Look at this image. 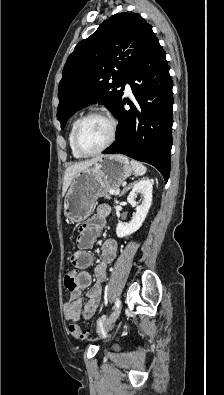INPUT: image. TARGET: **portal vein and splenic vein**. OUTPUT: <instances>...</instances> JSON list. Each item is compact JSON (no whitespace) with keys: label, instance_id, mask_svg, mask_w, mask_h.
<instances>
[{"label":"portal vein and splenic vein","instance_id":"18ae733b","mask_svg":"<svg viewBox=\"0 0 224 395\" xmlns=\"http://www.w3.org/2000/svg\"><path fill=\"white\" fill-rule=\"evenodd\" d=\"M109 193H110L111 195H115V194H116V191L111 189V190L109 191Z\"/></svg>","mask_w":224,"mask_h":395}]
</instances>
